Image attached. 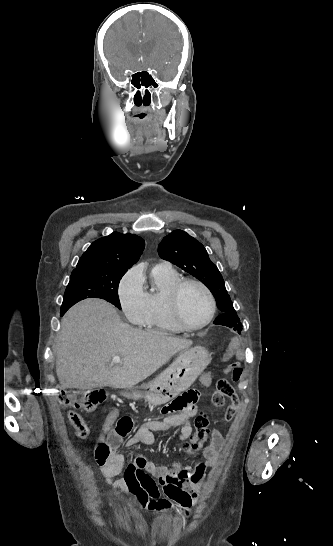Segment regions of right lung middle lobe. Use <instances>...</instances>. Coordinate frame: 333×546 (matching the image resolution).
Returning a JSON list of instances; mask_svg holds the SVG:
<instances>
[{
  "instance_id": "1",
  "label": "right lung middle lobe",
  "mask_w": 333,
  "mask_h": 546,
  "mask_svg": "<svg viewBox=\"0 0 333 546\" xmlns=\"http://www.w3.org/2000/svg\"><path fill=\"white\" fill-rule=\"evenodd\" d=\"M127 270L93 267L82 274L71 275L66 288L61 311L86 298H102L121 309L118 285Z\"/></svg>"
}]
</instances>
